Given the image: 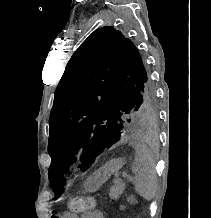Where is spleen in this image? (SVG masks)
I'll return each mask as SVG.
<instances>
[{
	"label": "spleen",
	"instance_id": "3e777b00",
	"mask_svg": "<svg viewBox=\"0 0 211 218\" xmlns=\"http://www.w3.org/2000/svg\"><path fill=\"white\" fill-rule=\"evenodd\" d=\"M135 190L145 200H153L157 190L155 162L146 150H136L132 164Z\"/></svg>",
	"mask_w": 211,
	"mask_h": 218
}]
</instances>
